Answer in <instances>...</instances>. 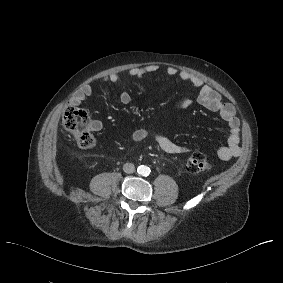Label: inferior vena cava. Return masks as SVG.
<instances>
[{
    "instance_id": "602c4592",
    "label": "inferior vena cava",
    "mask_w": 283,
    "mask_h": 283,
    "mask_svg": "<svg viewBox=\"0 0 283 283\" xmlns=\"http://www.w3.org/2000/svg\"><path fill=\"white\" fill-rule=\"evenodd\" d=\"M124 172L131 174L135 171V166L132 163H125L123 166Z\"/></svg>"
}]
</instances>
